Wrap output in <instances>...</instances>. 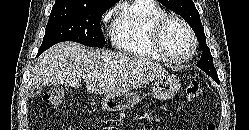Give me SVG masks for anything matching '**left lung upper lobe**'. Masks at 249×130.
<instances>
[{"mask_svg":"<svg viewBox=\"0 0 249 130\" xmlns=\"http://www.w3.org/2000/svg\"><path fill=\"white\" fill-rule=\"evenodd\" d=\"M166 8L176 12L183 17L193 29L200 49L202 50L201 59L197 62V66L207 73L215 82L219 83L217 71L213 64V58L210 49L206 45L204 28L200 20V15L192 0H159Z\"/></svg>","mask_w":249,"mask_h":130,"instance_id":"obj_1","label":"left lung upper lobe"}]
</instances>
